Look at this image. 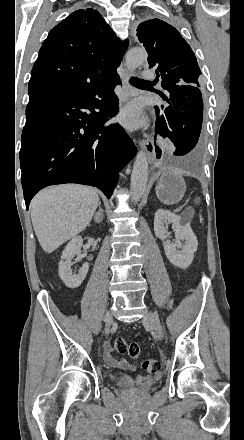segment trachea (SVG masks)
I'll use <instances>...</instances> for the list:
<instances>
[{
	"instance_id": "3493384b",
	"label": "trachea",
	"mask_w": 244,
	"mask_h": 440,
	"mask_svg": "<svg viewBox=\"0 0 244 440\" xmlns=\"http://www.w3.org/2000/svg\"><path fill=\"white\" fill-rule=\"evenodd\" d=\"M131 84L134 85V87H139L142 83H153L149 82V80H143L142 78L133 77L130 80Z\"/></svg>"
}]
</instances>
